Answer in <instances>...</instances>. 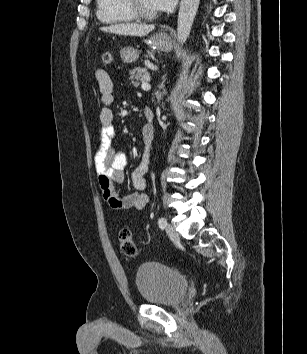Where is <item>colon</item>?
<instances>
[{"label":"colon","mask_w":307,"mask_h":354,"mask_svg":"<svg viewBox=\"0 0 307 354\" xmlns=\"http://www.w3.org/2000/svg\"><path fill=\"white\" fill-rule=\"evenodd\" d=\"M114 54L111 51H106L102 54L101 60L105 65L112 63ZM118 243L123 255L127 257H134L137 253L136 245L134 243L132 233L129 229L123 228L118 235Z\"/></svg>","instance_id":"colon-1"}]
</instances>
